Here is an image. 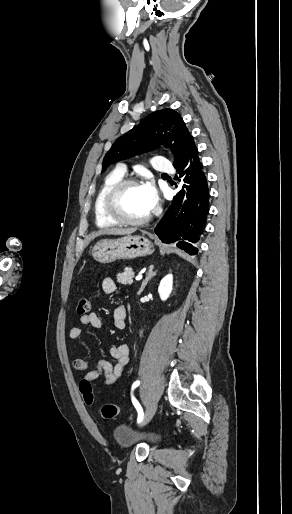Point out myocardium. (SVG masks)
Here are the masks:
<instances>
[{
  "label": "myocardium",
  "mask_w": 292,
  "mask_h": 514,
  "mask_svg": "<svg viewBox=\"0 0 292 514\" xmlns=\"http://www.w3.org/2000/svg\"><path fill=\"white\" fill-rule=\"evenodd\" d=\"M140 186L138 181L133 178H124L110 186L104 193L102 198V209L104 214L114 223L122 225H141L147 222L151 216L149 211L145 216L138 219H128L121 216L115 209V199L117 195L125 188Z\"/></svg>",
  "instance_id": "1"
}]
</instances>
